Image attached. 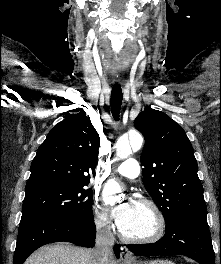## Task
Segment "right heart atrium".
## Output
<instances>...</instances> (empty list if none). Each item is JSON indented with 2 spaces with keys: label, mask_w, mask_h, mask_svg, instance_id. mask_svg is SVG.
I'll return each mask as SVG.
<instances>
[{
  "label": "right heart atrium",
  "mask_w": 221,
  "mask_h": 264,
  "mask_svg": "<svg viewBox=\"0 0 221 264\" xmlns=\"http://www.w3.org/2000/svg\"><path fill=\"white\" fill-rule=\"evenodd\" d=\"M93 215H94V224L96 228L103 232H108L111 229V222L108 218V214L104 208L98 204H93Z\"/></svg>",
  "instance_id": "d8ad5b80"
}]
</instances>
